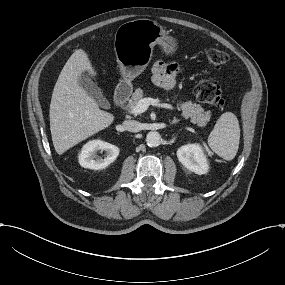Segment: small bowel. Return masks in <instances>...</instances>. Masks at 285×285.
I'll return each mask as SVG.
<instances>
[{
  "label": "small bowel",
  "instance_id": "small-bowel-1",
  "mask_svg": "<svg viewBox=\"0 0 285 285\" xmlns=\"http://www.w3.org/2000/svg\"><path fill=\"white\" fill-rule=\"evenodd\" d=\"M178 72L179 66L177 64H167L158 60L152 67V80L157 86L170 90L175 85Z\"/></svg>",
  "mask_w": 285,
  "mask_h": 285
}]
</instances>
